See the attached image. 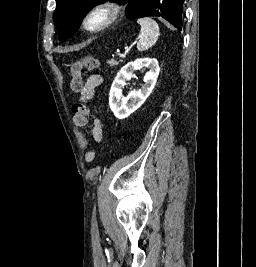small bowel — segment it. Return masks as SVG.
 <instances>
[{
    "instance_id": "1",
    "label": "small bowel",
    "mask_w": 256,
    "mask_h": 267,
    "mask_svg": "<svg viewBox=\"0 0 256 267\" xmlns=\"http://www.w3.org/2000/svg\"><path fill=\"white\" fill-rule=\"evenodd\" d=\"M103 78L99 74L90 75L80 90V102L87 103L95 96L97 88L102 84ZM94 141L99 143L102 140V127L99 120H95L91 131Z\"/></svg>"
}]
</instances>
